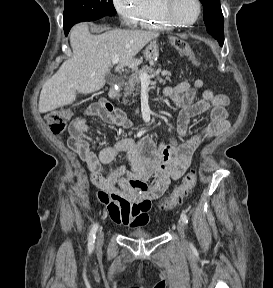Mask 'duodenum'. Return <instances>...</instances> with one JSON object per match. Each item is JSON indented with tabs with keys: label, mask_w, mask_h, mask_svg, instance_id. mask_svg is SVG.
I'll return each instance as SVG.
<instances>
[{
	"label": "duodenum",
	"mask_w": 273,
	"mask_h": 288,
	"mask_svg": "<svg viewBox=\"0 0 273 288\" xmlns=\"http://www.w3.org/2000/svg\"><path fill=\"white\" fill-rule=\"evenodd\" d=\"M119 93L120 92H119L118 88L112 87L110 89L109 96L111 97V99H116V98H118Z\"/></svg>",
	"instance_id": "duodenum-1"
}]
</instances>
